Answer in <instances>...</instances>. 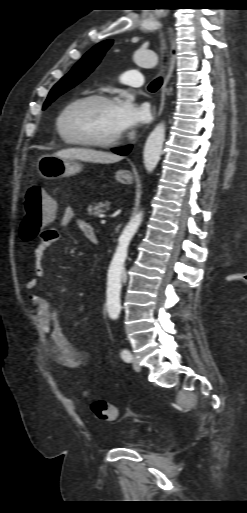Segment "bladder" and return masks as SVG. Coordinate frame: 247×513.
Instances as JSON below:
<instances>
[{"mask_svg":"<svg viewBox=\"0 0 247 513\" xmlns=\"http://www.w3.org/2000/svg\"><path fill=\"white\" fill-rule=\"evenodd\" d=\"M147 445V441L145 439H135V440H129V439H123L118 440L115 442V444L111 447L117 448V449H142L145 448Z\"/></svg>","mask_w":247,"mask_h":513,"instance_id":"31cf9c89","label":"bladder"}]
</instances>
